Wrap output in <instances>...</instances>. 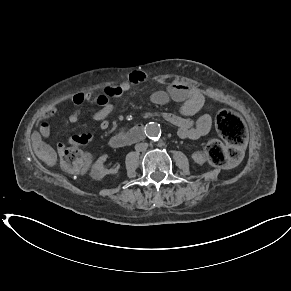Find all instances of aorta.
<instances>
[{"instance_id": "aorta-1", "label": "aorta", "mask_w": 291, "mask_h": 291, "mask_svg": "<svg viewBox=\"0 0 291 291\" xmlns=\"http://www.w3.org/2000/svg\"><path fill=\"white\" fill-rule=\"evenodd\" d=\"M145 133L150 139H156L161 135V128L157 123H149L145 128Z\"/></svg>"}]
</instances>
